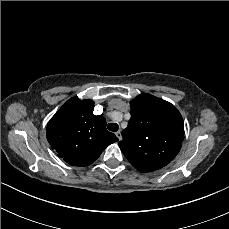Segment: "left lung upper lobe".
I'll list each match as a JSON object with an SVG mask.
<instances>
[{"label":"left lung upper lobe","mask_w":229,"mask_h":229,"mask_svg":"<svg viewBox=\"0 0 229 229\" xmlns=\"http://www.w3.org/2000/svg\"><path fill=\"white\" fill-rule=\"evenodd\" d=\"M130 106L131 119L119 142L121 151L141 173L166 166L178 154L184 139L180 112L150 94L137 96Z\"/></svg>","instance_id":"5c2ea615"}]
</instances>
